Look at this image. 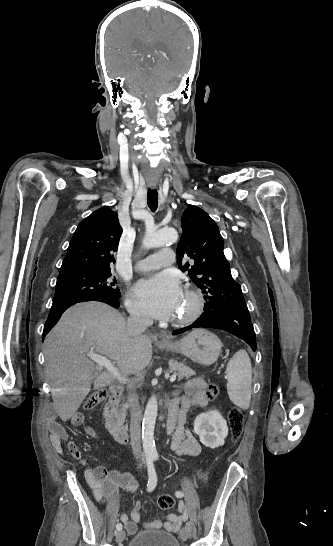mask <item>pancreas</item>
<instances>
[{
  "label": "pancreas",
  "mask_w": 333,
  "mask_h": 546,
  "mask_svg": "<svg viewBox=\"0 0 333 546\" xmlns=\"http://www.w3.org/2000/svg\"><path fill=\"white\" fill-rule=\"evenodd\" d=\"M169 370L171 373H174L176 376H178L179 381L183 378H190L191 376L196 374L195 371H193L191 368H189L185 364L178 363L177 361L169 362ZM124 408L127 409L128 404H125Z\"/></svg>",
  "instance_id": "cf45deb5"
}]
</instances>
